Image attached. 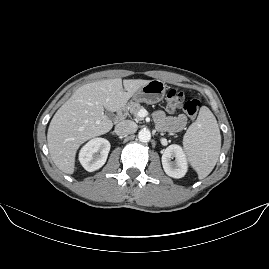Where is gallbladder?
Here are the masks:
<instances>
[{"mask_svg":"<svg viewBox=\"0 0 269 269\" xmlns=\"http://www.w3.org/2000/svg\"><path fill=\"white\" fill-rule=\"evenodd\" d=\"M105 114H106L108 119H111L113 117V113L110 111H106Z\"/></svg>","mask_w":269,"mask_h":269,"instance_id":"1","label":"gallbladder"}]
</instances>
